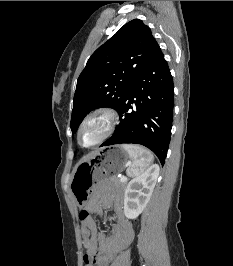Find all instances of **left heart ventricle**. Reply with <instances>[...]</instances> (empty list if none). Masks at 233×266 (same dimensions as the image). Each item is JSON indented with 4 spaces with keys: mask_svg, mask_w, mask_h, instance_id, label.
Here are the masks:
<instances>
[{
    "mask_svg": "<svg viewBox=\"0 0 233 266\" xmlns=\"http://www.w3.org/2000/svg\"><path fill=\"white\" fill-rule=\"evenodd\" d=\"M107 120L98 117L89 121L81 131V141L85 145H90L97 141L105 131Z\"/></svg>",
    "mask_w": 233,
    "mask_h": 266,
    "instance_id": "left-heart-ventricle-1",
    "label": "left heart ventricle"
}]
</instances>
